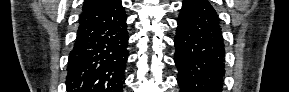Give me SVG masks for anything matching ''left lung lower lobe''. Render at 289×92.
<instances>
[{"mask_svg":"<svg viewBox=\"0 0 289 92\" xmlns=\"http://www.w3.org/2000/svg\"><path fill=\"white\" fill-rule=\"evenodd\" d=\"M177 23L180 92H221L225 50L215 9L207 0H184Z\"/></svg>","mask_w":289,"mask_h":92,"instance_id":"0a47b994","label":"left lung lower lobe"}]
</instances>
